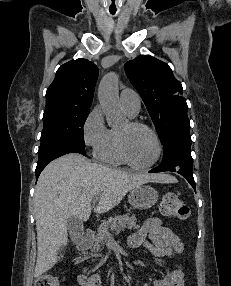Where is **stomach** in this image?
<instances>
[{"instance_id": "1", "label": "stomach", "mask_w": 231, "mask_h": 286, "mask_svg": "<svg viewBox=\"0 0 231 286\" xmlns=\"http://www.w3.org/2000/svg\"><path fill=\"white\" fill-rule=\"evenodd\" d=\"M128 201L133 208L146 210L158 201V192L149 185H140L130 191Z\"/></svg>"}]
</instances>
